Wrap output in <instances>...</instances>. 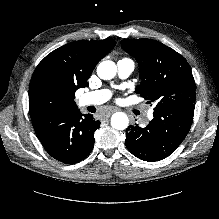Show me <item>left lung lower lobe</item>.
Returning a JSON list of instances; mask_svg holds the SVG:
<instances>
[{
  "label": "left lung lower lobe",
  "mask_w": 219,
  "mask_h": 219,
  "mask_svg": "<svg viewBox=\"0 0 219 219\" xmlns=\"http://www.w3.org/2000/svg\"><path fill=\"white\" fill-rule=\"evenodd\" d=\"M193 114L194 105L176 110H154V118L148 126L127 128L125 145L141 160H162L184 140L191 127Z\"/></svg>",
  "instance_id": "0a47b994"
}]
</instances>
